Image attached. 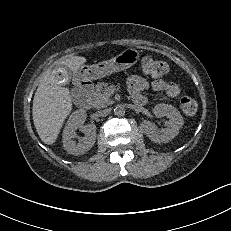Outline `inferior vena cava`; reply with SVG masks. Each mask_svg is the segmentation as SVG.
Wrapping results in <instances>:
<instances>
[{
	"mask_svg": "<svg viewBox=\"0 0 231 231\" xmlns=\"http://www.w3.org/2000/svg\"><path fill=\"white\" fill-rule=\"evenodd\" d=\"M110 113V109L99 110L96 115L99 117L107 116Z\"/></svg>",
	"mask_w": 231,
	"mask_h": 231,
	"instance_id": "inferior-vena-cava-1",
	"label": "inferior vena cava"
}]
</instances>
